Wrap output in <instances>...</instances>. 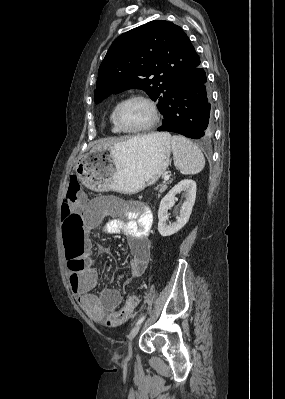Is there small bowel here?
Wrapping results in <instances>:
<instances>
[{
  "label": "small bowel",
  "instance_id": "c3829d8e",
  "mask_svg": "<svg viewBox=\"0 0 285 399\" xmlns=\"http://www.w3.org/2000/svg\"><path fill=\"white\" fill-rule=\"evenodd\" d=\"M111 196L101 197L96 205V210L108 221L101 233L106 235H123L128 244L131 260L129 262V275L125 279L128 284L132 279L141 277L150 259V246L148 236L150 234L153 219L146 211L145 205L137 204L130 211H125L121 202H113ZM84 205H78L76 214H82ZM92 225L86 223L78 225L75 229L77 241L83 244L88 253L87 264L76 275L70 277L71 291L78 299L80 306L87 311L97 322L104 323L109 328L121 326L128 318L118 319L116 309L122 302L120 291L115 289H103L99 295L92 293L100 283V275L93 268L92 242L89 232ZM132 306L131 313L138 303V298L131 295L126 304ZM130 313V315H131Z\"/></svg>",
  "mask_w": 285,
  "mask_h": 399
}]
</instances>
